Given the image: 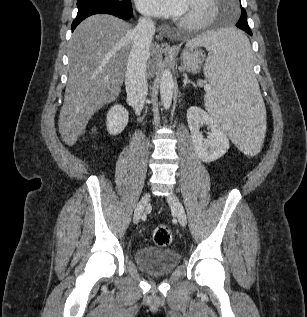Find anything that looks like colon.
I'll use <instances>...</instances> for the list:
<instances>
[{
    "instance_id": "obj_1",
    "label": "colon",
    "mask_w": 307,
    "mask_h": 317,
    "mask_svg": "<svg viewBox=\"0 0 307 317\" xmlns=\"http://www.w3.org/2000/svg\"><path fill=\"white\" fill-rule=\"evenodd\" d=\"M153 242L158 247H167L172 243L173 234L167 225H159L153 231Z\"/></svg>"
}]
</instances>
